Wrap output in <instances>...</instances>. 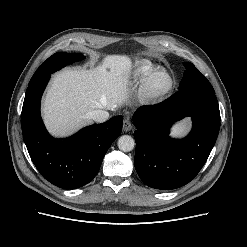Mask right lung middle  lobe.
I'll list each match as a JSON object with an SVG mask.
<instances>
[{
	"mask_svg": "<svg viewBox=\"0 0 247 247\" xmlns=\"http://www.w3.org/2000/svg\"><path fill=\"white\" fill-rule=\"evenodd\" d=\"M85 57L80 53H64V52H57L49 57L34 73L33 77L31 78L30 82H34L46 75L52 74L57 70L65 67L66 65L72 64L74 62L80 61Z\"/></svg>",
	"mask_w": 247,
	"mask_h": 247,
	"instance_id": "dd1d6c3e",
	"label": "right lung middle lobe"
}]
</instances>
